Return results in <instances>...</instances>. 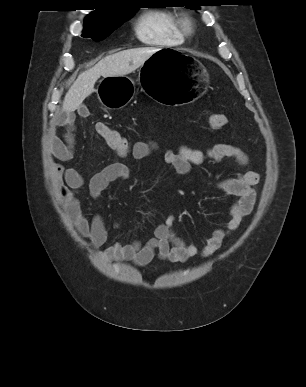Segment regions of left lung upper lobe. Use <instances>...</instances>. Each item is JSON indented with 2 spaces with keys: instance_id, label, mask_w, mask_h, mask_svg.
I'll return each instance as SVG.
<instances>
[{
  "instance_id": "1",
  "label": "left lung upper lobe",
  "mask_w": 306,
  "mask_h": 387,
  "mask_svg": "<svg viewBox=\"0 0 306 387\" xmlns=\"http://www.w3.org/2000/svg\"><path fill=\"white\" fill-rule=\"evenodd\" d=\"M187 7L190 8V9H193V8L199 9V6H197V5H194V6H187Z\"/></svg>"
}]
</instances>
